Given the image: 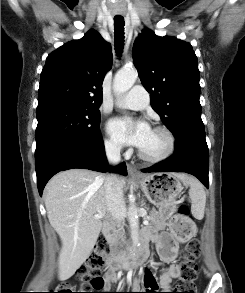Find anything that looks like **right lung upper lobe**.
I'll return each mask as SVG.
<instances>
[{
    "mask_svg": "<svg viewBox=\"0 0 245 293\" xmlns=\"http://www.w3.org/2000/svg\"><path fill=\"white\" fill-rule=\"evenodd\" d=\"M112 66V52L94 30L70 41L46 59L38 91V107L54 105L95 108L102 101V83Z\"/></svg>",
    "mask_w": 245,
    "mask_h": 293,
    "instance_id": "1",
    "label": "right lung upper lobe"
}]
</instances>
